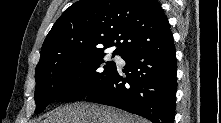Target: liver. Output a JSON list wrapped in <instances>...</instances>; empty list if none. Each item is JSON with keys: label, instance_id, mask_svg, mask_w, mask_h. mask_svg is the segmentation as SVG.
<instances>
[{"label": "liver", "instance_id": "liver-1", "mask_svg": "<svg viewBox=\"0 0 221 123\" xmlns=\"http://www.w3.org/2000/svg\"><path fill=\"white\" fill-rule=\"evenodd\" d=\"M42 123H148L109 106L77 102L56 108Z\"/></svg>", "mask_w": 221, "mask_h": 123}]
</instances>
